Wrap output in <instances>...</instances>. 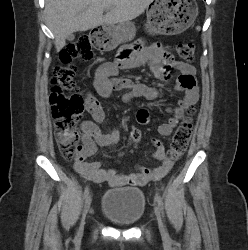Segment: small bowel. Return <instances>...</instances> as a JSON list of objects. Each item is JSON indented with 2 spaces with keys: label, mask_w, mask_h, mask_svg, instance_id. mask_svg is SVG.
Here are the masks:
<instances>
[{
  "label": "small bowel",
  "mask_w": 248,
  "mask_h": 250,
  "mask_svg": "<svg viewBox=\"0 0 248 250\" xmlns=\"http://www.w3.org/2000/svg\"><path fill=\"white\" fill-rule=\"evenodd\" d=\"M129 55L118 63L101 64L94 76V89L101 97H109L115 90H128L124 100L141 97L146 100H155L161 96L158 88L135 83L129 79L118 78V69H132L140 66H148L151 73L163 82L171 81V71H178L175 88L184 92V97L178 100L177 105L170 109L171 116L166 123L158 128L161 136H170L178 125L184 110L198 101V87L196 85L195 70L190 64L175 60L160 42L146 43L140 40L128 49ZM87 111L93 120H84L81 123L82 145L74 163L75 170L86 179L94 183H109L110 186L123 185L142 186L150 181L164 178L171 170L173 162L167 157L163 143L159 139H153L156 148L154 158L160 164L154 168L138 166L137 172L119 174L114 169L101 168L100 162H88L87 158L94 155L97 147H115L120 140V133L115 128H107L103 131L100 125L105 124L106 114L99 101L88 92L85 97ZM137 121L146 125L150 121L149 111L146 108L138 110ZM132 139V133L129 140ZM136 143V142H135Z\"/></svg>",
  "instance_id": "c3829d8e"
}]
</instances>
